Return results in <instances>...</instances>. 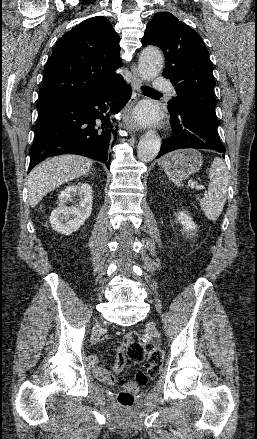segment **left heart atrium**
Listing matches in <instances>:
<instances>
[{"label": "left heart atrium", "instance_id": "1", "mask_svg": "<svg viewBox=\"0 0 257 439\" xmlns=\"http://www.w3.org/2000/svg\"><path fill=\"white\" fill-rule=\"evenodd\" d=\"M136 117L142 123H148L155 120V113L149 107H141L137 110Z\"/></svg>", "mask_w": 257, "mask_h": 439}]
</instances>
